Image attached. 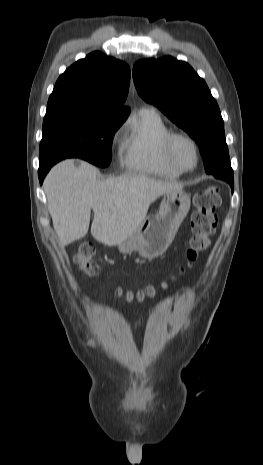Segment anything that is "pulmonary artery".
Returning a JSON list of instances; mask_svg holds the SVG:
<instances>
[{"label":"pulmonary artery","instance_id":"1","mask_svg":"<svg viewBox=\"0 0 263 465\" xmlns=\"http://www.w3.org/2000/svg\"><path fill=\"white\" fill-rule=\"evenodd\" d=\"M147 109L153 110V108H147Z\"/></svg>","mask_w":263,"mask_h":465}]
</instances>
